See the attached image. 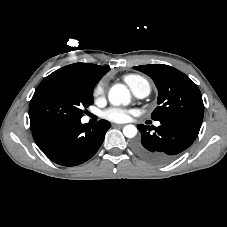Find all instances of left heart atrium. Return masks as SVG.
<instances>
[{
	"label": "left heart atrium",
	"mask_w": 227,
	"mask_h": 227,
	"mask_svg": "<svg viewBox=\"0 0 227 227\" xmlns=\"http://www.w3.org/2000/svg\"><path fill=\"white\" fill-rule=\"evenodd\" d=\"M104 117L112 122H125L130 117V111L127 109L114 107L106 110L104 113Z\"/></svg>",
	"instance_id": "left-heart-atrium-1"
}]
</instances>
